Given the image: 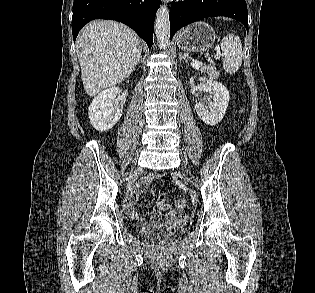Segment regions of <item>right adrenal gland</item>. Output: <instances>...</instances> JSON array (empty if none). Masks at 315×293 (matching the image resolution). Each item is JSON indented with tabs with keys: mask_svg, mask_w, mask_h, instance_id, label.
<instances>
[{
	"mask_svg": "<svg viewBox=\"0 0 315 293\" xmlns=\"http://www.w3.org/2000/svg\"><path fill=\"white\" fill-rule=\"evenodd\" d=\"M142 61V55H141V57H140V59H139V62H141Z\"/></svg>",
	"mask_w": 315,
	"mask_h": 293,
	"instance_id": "2a0ac1e0",
	"label": "right adrenal gland"
}]
</instances>
